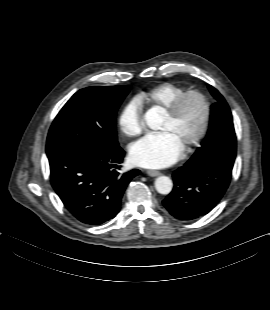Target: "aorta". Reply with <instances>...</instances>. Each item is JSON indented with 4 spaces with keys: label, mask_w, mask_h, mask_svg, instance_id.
<instances>
[{
    "label": "aorta",
    "mask_w": 270,
    "mask_h": 310,
    "mask_svg": "<svg viewBox=\"0 0 270 310\" xmlns=\"http://www.w3.org/2000/svg\"><path fill=\"white\" fill-rule=\"evenodd\" d=\"M145 120H146L147 125L153 130L159 129L162 123L161 116L155 111H148L145 114ZM172 187H173V183L171 179L167 176H159L155 180V189L160 194H163V195L169 194L172 190Z\"/></svg>",
    "instance_id": "obj_1"
}]
</instances>
